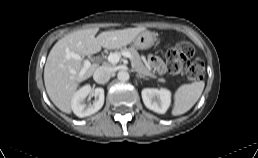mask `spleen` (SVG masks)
<instances>
[{"label": "spleen", "mask_w": 258, "mask_h": 158, "mask_svg": "<svg viewBox=\"0 0 258 158\" xmlns=\"http://www.w3.org/2000/svg\"><path fill=\"white\" fill-rule=\"evenodd\" d=\"M204 86V81H196L180 86L174 95L172 115H181L190 110L200 98Z\"/></svg>", "instance_id": "spleen-1"}]
</instances>
